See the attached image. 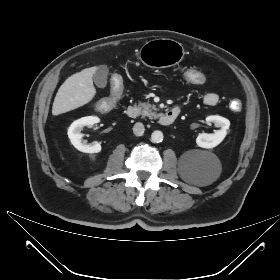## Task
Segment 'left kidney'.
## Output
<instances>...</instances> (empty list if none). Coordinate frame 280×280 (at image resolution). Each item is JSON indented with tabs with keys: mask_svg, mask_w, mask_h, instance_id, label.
Returning a JSON list of instances; mask_svg holds the SVG:
<instances>
[{
	"mask_svg": "<svg viewBox=\"0 0 280 280\" xmlns=\"http://www.w3.org/2000/svg\"><path fill=\"white\" fill-rule=\"evenodd\" d=\"M206 121L213 122L220 129L214 133H200L196 138V143L199 147L210 149L216 147L224 140L230 127V121L219 115L207 116Z\"/></svg>",
	"mask_w": 280,
	"mask_h": 280,
	"instance_id": "obj_1",
	"label": "left kidney"
}]
</instances>
